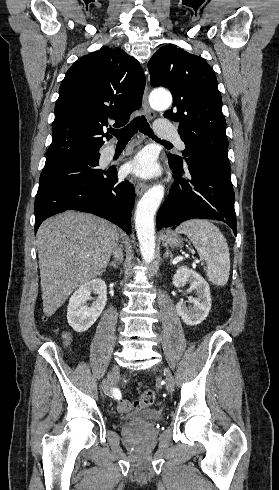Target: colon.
Here are the masks:
<instances>
[{"label": "colon", "instance_id": "obj_1", "mask_svg": "<svg viewBox=\"0 0 279 490\" xmlns=\"http://www.w3.org/2000/svg\"><path fill=\"white\" fill-rule=\"evenodd\" d=\"M64 337L67 335L65 333L62 334ZM155 400V391L148 389L145 390L138 400H129V399H121L116 406V411L118 413L124 414L128 413L134 409H142L145 407H150Z\"/></svg>", "mask_w": 279, "mask_h": 490}]
</instances>
